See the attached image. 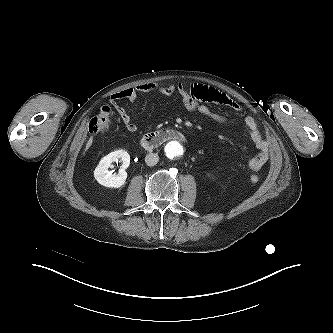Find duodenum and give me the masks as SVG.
<instances>
[{
    "instance_id": "410a0bca",
    "label": "duodenum",
    "mask_w": 333,
    "mask_h": 333,
    "mask_svg": "<svg viewBox=\"0 0 333 333\" xmlns=\"http://www.w3.org/2000/svg\"><path fill=\"white\" fill-rule=\"evenodd\" d=\"M183 134L176 129H165L150 132L144 135L141 140V146L146 150H152L170 140H183Z\"/></svg>"
}]
</instances>
